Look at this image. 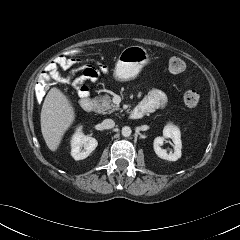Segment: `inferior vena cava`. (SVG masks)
Wrapping results in <instances>:
<instances>
[{
  "label": "inferior vena cava",
  "instance_id": "obj_1",
  "mask_svg": "<svg viewBox=\"0 0 240 240\" xmlns=\"http://www.w3.org/2000/svg\"><path fill=\"white\" fill-rule=\"evenodd\" d=\"M103 129H111L115 126V122L112 119H105L101 123Z\"/></svg>",
  "mask_w": 240,
  "mask_h": 240
}]
</instances>
